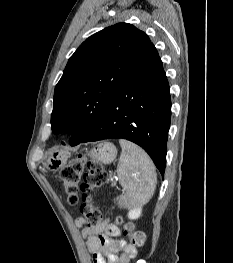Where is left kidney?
<instances>
[{"label":"left kidney","instance_id":"1","mask_svg":"<svg viewBox=\"0 0 233 263\" xmlns=\"http://www.w3.org/2000/svg\"><path fill=\"white\" fill-rule=\"evenodd\" d=\"M141 213H142L141 207L133 208L128 212V218L131 220H135L140 217Z\"/></svg>","mask_w":233,"mask_h":263}]
</instances>
